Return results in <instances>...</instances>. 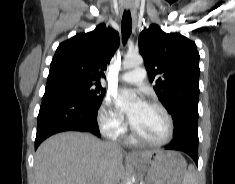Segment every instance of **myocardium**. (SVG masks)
<instances>
[{
  "label": "myocardium",
  "mask_w": 235,
  "mask_h": 184,
  "mask_svg": "<svg viewBox=\"0 0 235 184\" xmlns=\"http://www.w3.org/2000/svg\"><path fill=\"white\" fill-rule=\"evenodd\" d=\"M147 106L155 107V108L159 109L165 115V117L167 119V122H168L167 135L164 139L159 140V141L150 140V139H147V138H144V137L140 136L135 131L134 127L132 126L131 127L132 138L137 142L147 144V145H150V146H153V147H163V146L169 144L172 141L173 137H174V129H175L174 119H173L171 113L169 112V110L163 104H161L159 102H149L147 104Z\"/></svg>",
  "instance_id": "myocardium-1"
}]
</instances>
